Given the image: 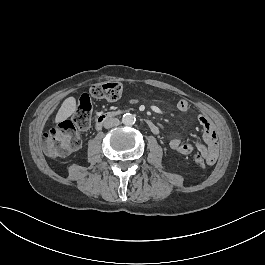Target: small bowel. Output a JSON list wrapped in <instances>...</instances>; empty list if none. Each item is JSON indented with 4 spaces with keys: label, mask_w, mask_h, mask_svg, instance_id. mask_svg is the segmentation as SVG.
I'll return each mask as SVG.
<instances>
[{
    "label": "small bowel",
    "mask_w": 265,
    "mask_h": 265,
    "mask_svg": "<svg viewBox=\"0 0 265 265\" xmlns=\"http://www.w3.org/2000/svg\"><path fill=\"white\" fill-rule=\"evenodd\" d=\"M190 108L191 105L188 100L180 99L177 101V109L180 112L186 113ZM198 121L203 128L205 144L194 145L191 142H183L178 138H173L169 142V147L171 150L181 154H190L197 150L205 158L206 164L213 165L218 158V145L212 123L204 115H199Z\"/></svg>",
    "instance_id": "obj_1"
}]
</instances>
